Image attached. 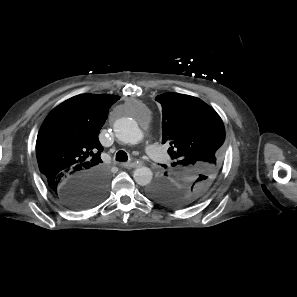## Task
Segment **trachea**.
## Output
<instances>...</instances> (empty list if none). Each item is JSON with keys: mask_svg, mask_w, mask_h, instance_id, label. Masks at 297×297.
Wrapping results in <instances>:
<instances>
[{"mask_svg": "<svg viewBox=\"0 0 297 297\" xmlns=\"http://www.w3.org/2000/svg\"><path fill=\"white\" fill-rule=\"evenodd\" d=\"M116 160L117 161H127L128 160V155L125 151L120 150L116 153Z\"/></svg>", "mask_w": 297, "mask_h": 297, "instance_id": "1", "label": "trachea"}]
</instances>
